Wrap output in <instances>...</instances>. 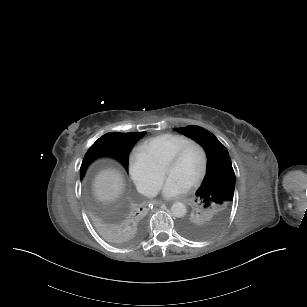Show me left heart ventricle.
<instances>
[{"label": "left heart ventricle", "mask_w": 307, "mask_h": 307, "mask_svg": "<svg viewBox=\"0 0 307 307\" xmlns=\"http://www.w3.org/2000/svg\"><path fill=\"white\" fill-rule=\"evenodd\" d=\"M203 153L199 145L191 146L181 160L163 165L166 175H174L189 184L201 171Z\"/></svg>", "instance_id": "b2bd125f"}]
</instances>
